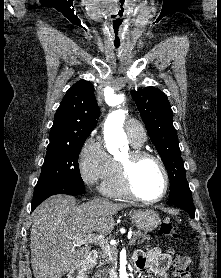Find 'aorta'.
I'll return each mask as SVG.
<instances>
[{
	"mask_svg": "<svg viewBox=\"0 0 221 278\" xmlns=\"http://www.w3.org/2000/svg\"><path fill=\"white\" fill-rule=\"evenodd\" d=\"M125 111L115 110L111 112L104 124V139L110 153H116L118 147L127 143L126 134L123 130Z\"/></svg>",
	"mask_w": 221,
	"mask_h": 278,
	"instance_id": "aorta-1",
	"label": "aorta"
}]
</instances>
